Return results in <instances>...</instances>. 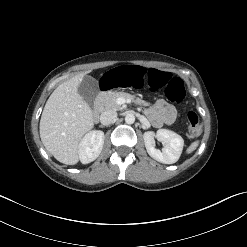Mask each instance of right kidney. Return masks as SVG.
Here are the masks:
<instances>
[{
  "mask_svg": "<svg viewBox=\"0 0 247 247\" xmlns=\"http://www.w3.org/2000/svg\"><path fill=\"white\" fill-rule=\"evenodd\" d=\"M104 145V132L91 131L85 135L79 147V159L83 164L97 159Z\"/></svg>",
  "mask_w": 247,
  "mask_h": 247,
  "instance_id": "right-kidney-1",
  "label": "right kidney"
}]
</instances>
